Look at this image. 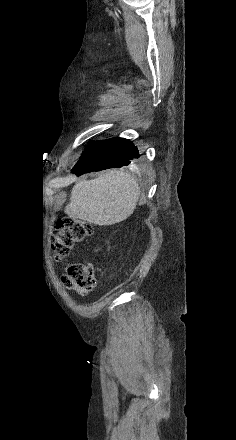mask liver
Here are the masks:
<instances>
[{
    "label": "liver",
    "mask_w": 236,
    "mask_h": 440,
    "mask_svg": "<svg viewBox=\"0 0 236 440\" xmlns=\"http://www.w3.org/2000/svg\"><path fill=\"white\" fill-rule=\"evenodd\" d=\"M139 196L134 177L123 170H110L96 179L77 182L64 211L71 218L109 226L130 217Z\"/></svg>",
    "instance_id": "6515ba94"
}]
</instances>
